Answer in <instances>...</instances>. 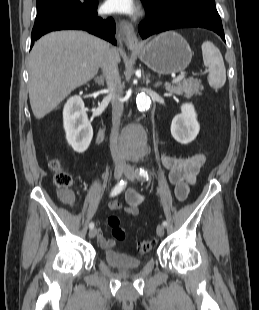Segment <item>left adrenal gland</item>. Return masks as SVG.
Here are the masks:
<instances>
[{"instance_id":"obj_1","label":"left adrenal gland","mask_w":259,"mask_h":310,"mask_svg":"<svg viewBox=\"0 0 259 310\" xmlns=\"http://www.w3.org/2000/svg\"><path fill=\"white\" fill-rule=\"evenodd\" d=\"M147 82H150V80H149V75L147 76ZM159 85H160L159 82H158V83H155V84H154V87L157 88V87H159Z\"/></svg>"}]
</instances>
